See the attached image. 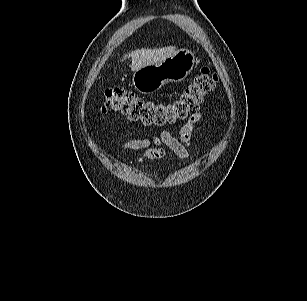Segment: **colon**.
<instances>
[{
  "label": "colon",
  "mask_w": 307,
  "mask_h": 301,
  "mask_svg": "<svg viewBox=\"0 0 307 301\" xmlns=\"http://www.w3.org/2000/svg\"><path fill=\"white\" fill-rule=\"evenodd\" d=\"M217 81V75L203 67L193 82L171 101L143 99L130 91L114 88L105 93L103 109L120 112L144 125L169 126L194 116Z\"/></svg>",
  "instance_id": "1"
}]
</instances>
